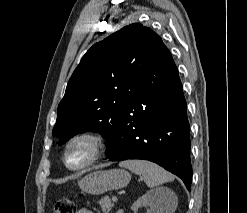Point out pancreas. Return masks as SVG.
I'll return each mask as SVG.
<instances>
[{
	"label": "pancreas",
	"instance_id": "pancreas-1",
	"mask_svg": "<svg viewBox=\"0 0 247 213\" xmlns=\"http://www.w3.org/2000/svg\"><path fill=\"white\" fill-rule=\"evenodd\" d=\"M114 202L109 197H104L99 201V204L102 208L103 213H109L112 207L114 206Z\"/></svg>",
	"mask_w": 247,
	"mask_h": 213
}]
</instances>
